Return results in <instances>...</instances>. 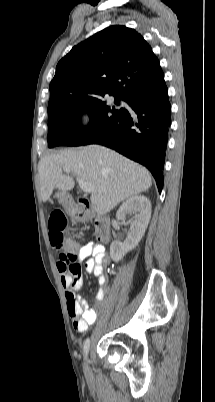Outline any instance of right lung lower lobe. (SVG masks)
<instances>
[{"mask_svg":"<svg viewBox=\"0 0 215 402\" xmlns=\"http://www.w3.org/2000/svg\"><path fill=\"white\" fill-rule=\"evenodd\" d=\"M125 102L134 113L123 112L98 133L85 137L81 145L100 144L147 167L159 192L163 188V164L171 124V105L166 84L131 94Z\"/></svg>","mask_w":215,"mask_h":402,"instance_id":"right-lung-lower-lobe-1","label":"right lung lower lobe"}]
</instances>
